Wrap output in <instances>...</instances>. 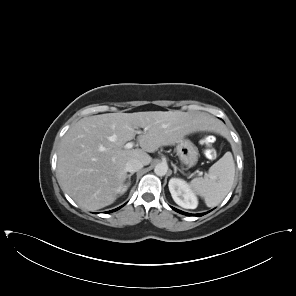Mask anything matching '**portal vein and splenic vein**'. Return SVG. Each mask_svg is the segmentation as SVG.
Listing matches in <instances>:
<instances>
[{"mask_svg": "<svg viewBox=\"0 0 296 296\" xmlns=\"http://www.w3.org/2000/svg\"><path fill=\"white\" fill-rule=\"evenodd\" d=\"M134 146V142H128L125 144L126 149H131Z\"/></svg>", "mask_w": 296, "mask_h": 296, "instance_id": "1", "label": "portal vein and splenic vein"}]
</instances>
